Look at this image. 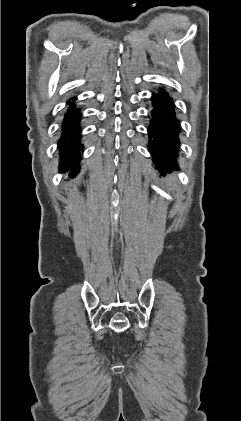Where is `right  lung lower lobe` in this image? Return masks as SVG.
I'll return each mask as SVG.
<instances>
[{
	"instance_id": "obj_1",
	"label": "right lung lower lobe",
	"mask_w": 241,
	"mask_h": 421,
	"mask_svg": "<svg viewBox=\"0 0 241 421\" xmlns=\"http://www.w3.org/2000/svg\"><path fill=\"white\" fill-rule=\"evenodd\" d=\"M76 99L77 97H73V103H70L71 100L67 102L70 106L63 119L61 136L58 141L61 158L60 172L69 171L70 177H74L78 173L81 151H83V145L80 144L81 131L78 127L81 113L80 109L75 107Z\"/></svg>"
}]
</instances>
